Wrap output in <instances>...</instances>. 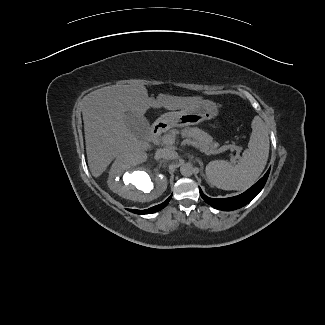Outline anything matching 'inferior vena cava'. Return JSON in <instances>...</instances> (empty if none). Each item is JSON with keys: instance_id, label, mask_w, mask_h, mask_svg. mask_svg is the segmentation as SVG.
<instances>
[{"instance_id": "inferior-vena-cava-1", "label": "inferior vena cava", "mask_w": 325, "mask_h": 325, "mask_svg": "<svg viewBox=\"0 0 325 325\" xmlns=\"http://www.w3.org/2000/svg\"><path fill=\"white\" fill-rule=\"evenodd\" d=\"M155 156L157 158H163V159H176L178 154L177 152L170 150V149H166V148H162V149H158L155 153Z\"/></svg>"}]
</instances>
